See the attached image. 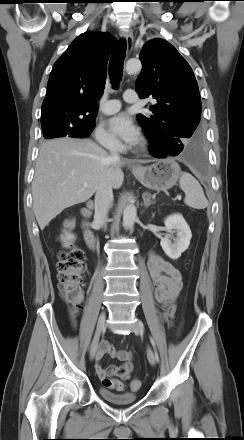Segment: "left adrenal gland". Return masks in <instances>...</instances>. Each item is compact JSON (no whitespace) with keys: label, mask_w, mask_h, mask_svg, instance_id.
Returning a JSON list of instances; mask_svg holds the SVG:
<instances>
[{"label":"left adrenal gland","mask_w":244,"mask_h":440,"mask_svg":"<svg viewBox=\"0 0 244 440\" xmlns=\"http://www.w3.org/2000/svg\"><path fill=\"white\" fill-rule=\"evenodd\" d=\"M144 207L148 208L150 205L154 204V201H151V195L149 193H145L143 195Z\"/></svg>","instance_id":"a2214340"}]
</instances>
